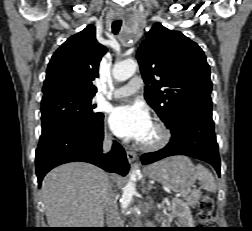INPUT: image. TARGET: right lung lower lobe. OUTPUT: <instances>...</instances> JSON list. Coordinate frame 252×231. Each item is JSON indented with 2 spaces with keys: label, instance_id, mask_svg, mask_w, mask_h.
Returning a JSON list of instances; mask_svg holds the SVG:
<instances>
[{
  "label": "right lung lower lobe",
  "instance_id": "obj_1",
  "mask_svg": "<svg viewBox=\"0 0 252 231\" xmlns=\"http://www.w3.org/2000/svg\"><path fill=\"white\" fill-rule=\"evenodd\" d=\"M103 138V119L97 125L63 123L43 130L35 158L39 184L52 168L73 161L92 163L125 176L129 164L124 149L114 141L112 150L102 153Z\"/></svg>",
  "mask_w": 252,
  "mask_h": 231
}]
</instances>
